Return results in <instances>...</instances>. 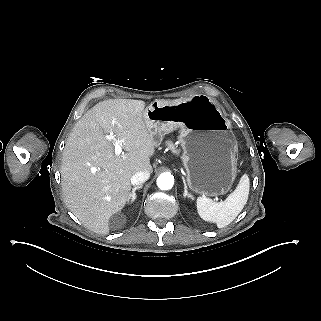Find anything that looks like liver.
Returning a JSON list of instances; mask_svg holds the SVG:
<instances>
[{"instance_id": "liver-1", "label": "liver", "mask_w": 321, "mask_h": 321, "mask_svg": "<svg viewBox=\"0 0 321 321\" xmlns=\"http://www.w3.org/2000/svg\"><path fill=\"white\" fill-rule=\"evenodd\" d=\"M145 102L109 99L97 103L75 124L63 151L64 201L89 230L107 235L111 216L125 206L136 172H153L155 141L145 125ZM113 132L126 151L114 153Z\"/></svg>"}]
</instances>
